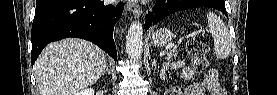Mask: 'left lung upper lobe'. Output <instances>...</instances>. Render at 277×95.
<instances>
[{"label":"left lung upper lobe","mask_w":277,"mask_h":95,"mask_svg":"<svg viewBox=\"0 0 277 95\" xmlns=\"http://www.w3.org/2000/svg\"><path fill=\"white\" fill-rule=\"evenodd\" d=\"M207 1L213 4H224L223 0H207ZM179 6H183L189 9V8L201 7L202 5L197 3L196 0H181L179 3Z\"/></svg>","instance_id":"obj_1"}]
</instances>
